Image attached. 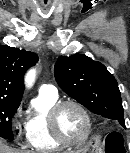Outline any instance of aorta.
I'll list each match as a JSON object with an SVG mask.
<instances>
[{
  "label": "aorta",
  "instance_id": "762f6f07",
  "mask_svg": "<svg viewBox=\"0 0 130 153\" xmlns=\"http://www.w3.org/2000/svg\"><path fill=\"white\" fill-rule=\"evenodd\" d=\"M37 75L36 68L30 69L25 76V85L27 88H31L35 82Z\"/></svg>",
  "mask_w": 130,
  "mask_h": 153
}]
</instances>
